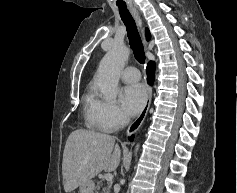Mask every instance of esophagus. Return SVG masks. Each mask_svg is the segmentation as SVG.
Listing matches in <instances>:
<instances>
[{
    "label": "esophagus",
    "instance_id": "obj_1",
    "mask_svg": "<svg viewBox=\"0 0 237 193\" xmlns=\"http://www.w3.org/2000/svg\"><path fill=\"white\" fill-rule=\"evenodd\" d=\"M130 11H131L132 15L134 16V18L137 22V25H138V27L141 31L144 46L147 47L148 43L145 39L143 22H142V19H141L140 15H139V12L133 6L130 7ZM151 98H152V88L150 86H148V88H147V98H146L144 107L142 108V110L139 113V115L137 116V118L128 127L127 132H126L127 135H132L133 133H135L141 127V125L144 122L145 117L148 113V110H149V107H150V104H151Z\"/></svg>",
    "mask_w": 237,
    "mask_h": 193
}]
</instances>
